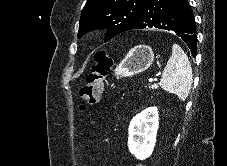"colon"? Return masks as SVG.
<instances>
[{"label":"colon","instance_id":"colon-1","mask_svg":"<svg viewBox=\"0 0 227 166\" xmlns=\"http://www.w3.org/2000/svg\"><path fill=\"white\" fill-rule=\"evenodd\" d=\"M111 66L110 60L104 55L96 57V64L87 76L86 82L80 89V99L85 104H97L102 95L104 78Z\"/></svg>","mask_w":227,"mask_h":166}]
</instances>
